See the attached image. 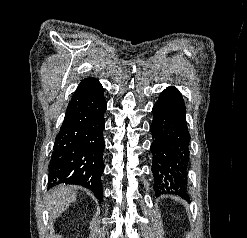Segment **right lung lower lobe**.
Instances as JSON below:
<instances>
[{
    "instance_id": "1",
    "label": "right lung lower lobe",
    "mask_w": 247,
    "mask_h": 238,
    "mask_svg": "<svg viewBox=\"0 0 247 238\" xmlns=\"http://www.w3.org/2000/svg\"><path fill=\"white\" fill-rule=\"evenodd\" d=\"M106 108L99 81L91 77L82 80L68 104L56 138L49 168L50 187L62 183L81 185L102 201Z\"/></svg>"
}]
</instances>
